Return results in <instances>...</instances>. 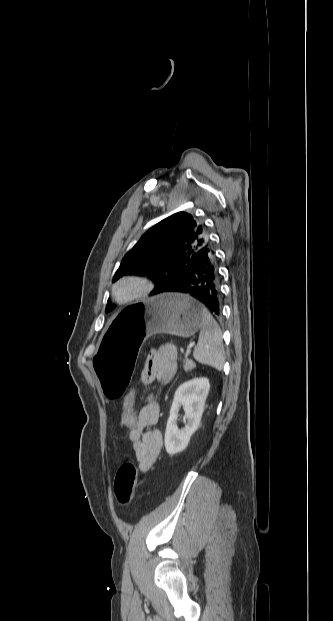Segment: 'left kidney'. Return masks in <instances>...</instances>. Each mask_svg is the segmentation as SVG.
I'll list each match as a JSON object with an SVG mask.
<instances>
[{
  "label": "left kidney",
  "mask_w": 333,
  "mask_h": 621,
  "mask_svg": "<svg viewBox=\"0 0 333 621\" xmlns=\"http://www.w3.org/2000/svg\"><path fill=\"white\" fill-rule=\"evenodd\" d=\"M209 389L207 378H195L181 384L176 390L165 432V448L169 455L183 451L192 434L198 429ZM181 406L185 411L187 424L179 429L177 420Z\"/></svg>",
  "instance_id": "1"
}]
</instances>
